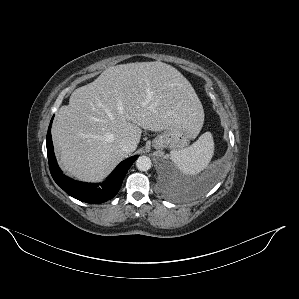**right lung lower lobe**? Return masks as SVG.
Wrapping results in <instances>:
<instances>
[{"label":"right lung lower lobe","instance_id":"obj_1","mask_svg":"<svg viewBox=\"0 0 299 299\" xmlns=\"http://www.w3.org/2000/svg\"><path fill=\"white\" fill-rule=\"evenodd\" d=\"M53 119V118H52ZM51 123L48 128L46 144L49 168L54 181L70 196L87 203H103L113 198L119 191L122 181L138 156H132L122 161L112 172L106 182L100 184H91L75 181L65 176L58 167L51 139Z\"/></svg>","mask_w":299,"mask_h":299}]
</instances>
